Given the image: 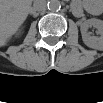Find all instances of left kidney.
I'll return each mask as SVG.
<instances>
[{
	"label": "left kidney",
	"instance_id": "1",
	"mask_svg": "<svg viewBox=\"0 0 103 103\" xmlns=\"http://www.w3.org/2000/svg\"><path fill=\"white\" fill-rule=\"evenodd\" d=\"M95 27L98 30L100 37L90 36L87 33L88 27ZM82 40L84 44L90 48L101 50L103 48V21L100 19L92 18L85 21L81 27Z\"/></svg>",
	"mask_w": 103,
	"mask_h": 103
}]
</instances>
